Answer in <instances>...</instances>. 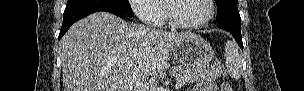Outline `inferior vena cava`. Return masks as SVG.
I'll return each instance as SVG.
<instances>
[{
    "instance_id": "inferior-vena-cava-1",
    "label": "inferior vena cava",
    "mask_w": 304,
    "mask_h": 91,
    "mask_svg": "<svg viewBox=\"0 0 304 91\" xmlns=\"http://www.w3.org/2000/svg\"><path fill=\"white\" fill-rule=\"evenodd\" d=\"M152 84L148 81V78H138L135 82L134 91H153Z\"/></svg>"
}]
</instances>
